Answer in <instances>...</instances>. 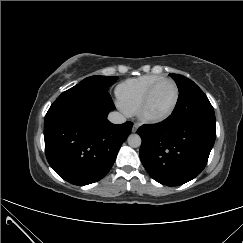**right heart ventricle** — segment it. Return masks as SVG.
<instances>
[{
    "mask_svg": "<svg viewBox=\"0 0 243 243\" xmlns=\"http://www.w3.org/2000/svg\"><path fill=\"white\" fill-rule=\"evenodd\" d=\"M164 79L161 75L149 74L128 79L116 88V97L120 107L126 113H135L150 87Z\"/></svg>",
    "mask_w": 243,
    "mask_h": 243,
    "instance_id": "obj_1",
    "label": "right heart ventricle"
}]
</instances>
